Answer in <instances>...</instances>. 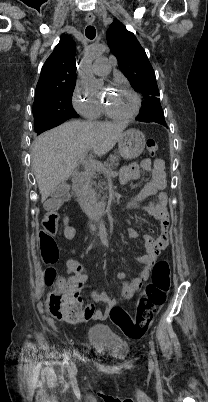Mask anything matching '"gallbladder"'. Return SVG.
Masks as SVG:
<instances>
[{"instance_id":"bac80fb5","label":"gallbladder","mask_w":208,"mask_h":402,"mask_svg":"<svg viewBox=\"0 0 208 402\" xmlns=\"http://www.w3.org/2000/svg\"><path fill=\"white\" fill-rule=\"evenodd\" d=\"M69 184L66 181L61 182L60 186H56L55 190H52L50 196L52 199H59L61 195L66 194Z\"/></svg>"}]
</instances>
